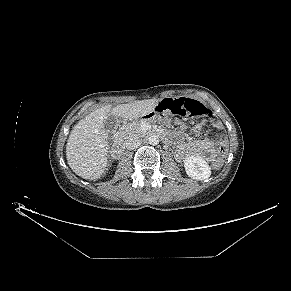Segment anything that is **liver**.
<instances>
[{"label": "liver", "instance_id": "6515ba94", "mask_svg": "<svg viewBox=\"0 0 291 291\" xmlns=\"http://www.w3.org/2000/svg\"><path fill=\"white\" fill-rule=\"evenodd\" d=\"M160 101L153 98L113 108L105 105L80 120L72 129L66 146V158L72 171L84 179H98L107 165L109 144L104 130L107 115L136 120L152 112Z\"/></svg>", "mask_w": 291, "mask_h": 291}]
</instances>
